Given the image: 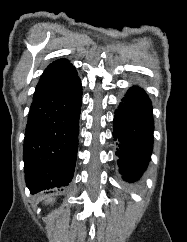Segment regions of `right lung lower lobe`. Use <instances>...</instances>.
Wrapping results in <instances>:
<instances>
[{
  "label": "right lung lower lobe",
  "mask_w": 187,
  "mask_h": 242,
  "mask_svg": "<svg viewBox=\"0 0 187 242\" xmlns=\"http://www.w3.org/2000/svg\"><path fill=\"white\" fill-rule=\"evenodd\" d=\"M82 86L77 73L36 88L24 138V172L31 194L67 186L77 158Z\"/></svg>",
  "instance_id": "obj_1"
}]
</instances>
